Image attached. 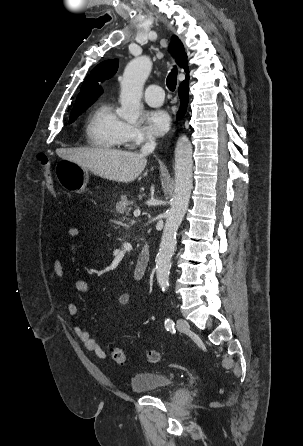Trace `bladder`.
<instances>
[{"label":"bladder","instance_id":"1","mask_svg":"<svg viewBox=\"0 0 303 446\" xmlns=\"http://www.w3.org/2000/svg\"><path fill=\"white\" fill-rule=\"evenodd\" d=\"M131 390L135 394H150L167 390L175 385L172 377L158 372H143L131 378Z\"/></svg>","mask_w":303,"mask_h":446}]
</instances>
